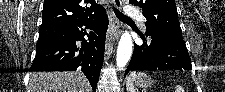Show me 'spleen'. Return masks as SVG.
<instances>
[{
  "mask_svg": "<svg viewBox=\"0 0 225 92\" xmlns=\"http://www.w3.org/2000/svg\"><path fill=\"white\" fill-rule=\"evenodd\" d=\"M136 77V72H132L128 78H127V82H126V88H127V92H135V88H134V79ZM175 92H184L183 88L178 86L176 87Z\"/></svg>",
  "mask_w": 225,
  "mask_h": 92,
  "instance_id": "spleen-1",
  "label": "spleen"
}]
</instances>
